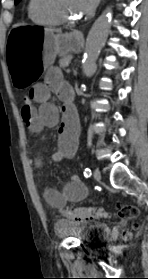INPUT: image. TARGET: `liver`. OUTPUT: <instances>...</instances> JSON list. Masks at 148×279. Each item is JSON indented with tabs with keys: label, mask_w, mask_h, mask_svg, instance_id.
I'll return each mask as SVG.
<instances>
[{
	"label": "liver",
	"mask_w": 148,
	"mask_h": 279,
	"mask_svg": "<svg viewBox=\"0 0 148 279\" xmlns=\"http://www.w3.org/2000/svg\"><path fill=\"white\" fill-rule=\"evenodd\" d=\"M47 32H50V33H61V30L60 29H51V28H47L45 29Z\"/></svg>",
	"instance_id": "1"
}]
</instances>
